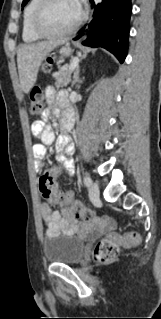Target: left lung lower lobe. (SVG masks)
Masks as SVG:
<instances>
[{"instance_id":"1","label":"left lung lower lobe","mask_w":161,"mask_h":319,"mask_svg":"<svg viewBox=\"0 0 161 319\" xmlns=\"http://www.w3.org/2000/svg\"><path fill=\"white\" fill-rule=\"evenodd\" d=\"M94 14L88 26L87 39L83 45L103 47L123 63L128 49L129 21L132 12L131 0H102L95 5L90 0ZM84 33L74 38L78 40Z\"/></svg>"}]
</instances>
